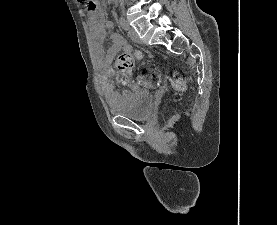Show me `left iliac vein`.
<instances>
[{"mask_svg":"<svg viewBox=\"0 0 277 225\" xmlns=\"http://www.w3.org/2000/svg\"><path fill=\"white\" fill-rule=\"evenodd\" d=\"M128 35L133 42L138 43V44L142 43V41L140 40L138 34L136 33V31L134 29L130 28L128 31Z\"/></svg>","mask_w":277,"mask_h":225,"instance_id":"4c4485c4","label":"left iliac vein"}]
</instances>
